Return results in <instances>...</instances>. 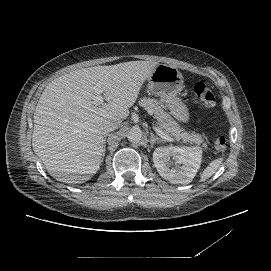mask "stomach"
<instances>
[{"label": "stomach", "instance_id": "0dacf381", "mask_svg": "<svg viewBox=\"0 0 271 271\" xmlns=\"http://www.w3.org/2000/svg\"><path fill=\"white\" fill-rule=\"evenodd\" d=\"M149 91L165 102L170 114L178 121L187 122L189 112L186 105L178 97L183 90V76L174 66L158 64L148 78Z\"/></svg>", "mask_w": 271, "mask_h": 271}]
</instances>
